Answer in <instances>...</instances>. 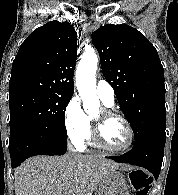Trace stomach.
Returning a JSON list of instances; mask_svg holds the SVG:
<instances>
[{
	"label": "stomach",
	"instance_id": "0dacf381",
	"mask_svg": "<svg viewBox=\"0 0 178 195\" xmlns=\"http://www.w3.org/2000/svg\"><path fill=\"white\" fill-rule=\"evenodd\" d=\"M124 170L123 168L108 170L99 185L98 195H131L130 177L124 174Z\"/></svg>",
	"mask_w": 178,
	"mask_h": 195
}]
</instances>
